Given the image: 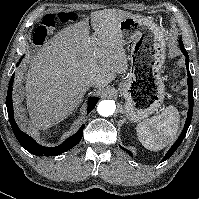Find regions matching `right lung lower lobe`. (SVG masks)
<instances>
[{"mask_svg":"<svg viewBox=\"0 0 199 199\" xmlns=\"http://www.w3.org/2000/svg\"><path fill=\"white\" fill-rule=\"evenodd\" d=\"M22 58H20L19 61H21ZM20 63V62H19ZM18 63V65H19ZM14 81V74L12 75L9 86H8V93H7V98H6V105H7V112H8V117L9 121L12 127V130L21 144V146L26 149L28 152H30L33 155H38V156H57L61 153H64L71 148H73L76 144H78L83 135V129L85 125H82V127L78 130V132L71 137L67 138L62 144L56 147H44L39 145L36 141H34L30 136H28L26 133L21 131L15 120H14V115H13V106H12V85ZM98 102L97 97H91L88 100V114L93 110L95 107L96 103Z\"/></svg>","mask_w":199,"mask_h":199,"instance_id":"right-lung-lower-lobe-1","label":"right lung lower lobe"}]
</instances>
